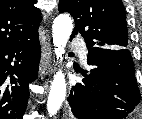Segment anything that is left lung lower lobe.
Listing matches in <instances>:
<instances>
[{
	"label": "left lung lower lobe",
	"mask_w": 142,
	"mask_h": 119,
	"mask_svg": "<svg viewBox=\"0 0 142 119\" xmlns=\"http://www.w3.org/2000/svg\"><path fill=\"white\" fill-rule=\"evenodd\" d=\"M87 63L90 74H85L86 78L72 87L68 97L74 117L123 119L129 116L140 103L130 51L92 47Z\"/></svg>",
	"instance_id": "1"
}]
</instances>
